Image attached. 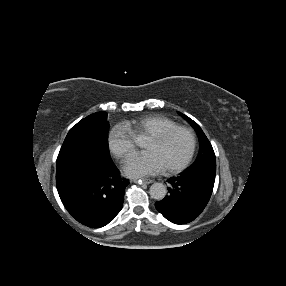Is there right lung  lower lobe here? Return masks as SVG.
<instances>
[{
  "label": "right lung lower lobe",
  "mask_w": 286,
  "mask_h": 286,
  "mask_svg": "<svg viewBox=\"0 0 286 286\" xmlns=\"http://www.w3.org/2000/svg\"><path fill=\"white\" fill-rule=\"evenodd\" d=\"M128 184L111 158L82 154L57 161L56 185L63 205L77 221L91 228L103 227L114 219L123 207Z\"/></svg>",
  "instance_id": "1"
}]
</instances>
